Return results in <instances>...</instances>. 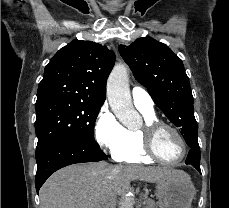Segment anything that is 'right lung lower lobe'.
<instances>
[{"label": "right lung lower lobe", "instance_id": "98d812e1", "mask_svg": "<svg viewBox=\"0 0 229 208\" xmlns=\"http://www.w3.org/2000/svg\"><path fill=\"white\" fill-rule=\"evenodd\" d=\"M105 159L107 156L99 145H93L75 137L55 139L36 151V191L38 193L46 179L60 168L75 163L96 162Z\"/></svg>", "mask_w": 229, "mask_h": 208}]
</instances>
